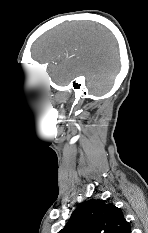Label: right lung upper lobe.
Returning a JSON list of instances; mask_svg holds the SVG:
<instances>
[{"label":"right lung upper lobe","instance_id":"right-lung-upper-lobe-1","mask_svg":"<svg viewBox=\"0 0 148 233\" xmlns=\"http://www.w3.org/2000/svg\"><path fill=\"white\" fill-rule=\"evenodd\" d=\"M58 233H131L120 208L106 200L90 199L81 203Z\"/></svg>","mask_w":148,"mask_h":233}]
</instances>
